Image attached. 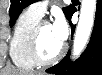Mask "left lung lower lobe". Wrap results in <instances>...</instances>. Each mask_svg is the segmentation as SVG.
I'll return each instance as SVG.
<instances>
[{
  "instance_id": "left-lung-lower-lobe-1",
  "label": "left lung lower lobe",
  "mask_w": 102,
  "mask_h": 75,
  "mask_svg": "<svg viewBox=\"0 0 102 75\" xmlns=\"http://www.w3.org/2000/svg\"><path fill=\"white\" fill-rule=\"evenodd\" d=\"M73 13L74 9L68 20ZM71 28L73 33L75 26L71 24ZM69 55L70 52L46 72L56 75H102V0H97L94 29L86 50L75 62L69 60Z\"/></svg>"
}]
</instances>
